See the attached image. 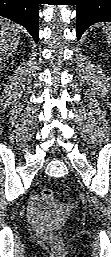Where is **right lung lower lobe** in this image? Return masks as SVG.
I'll return each instance as SVG.
<instances>
[{
    "label": "right lung lower lobe",
    "mask_w": 111,
    "mask_h": 257,
    "mask_svg": "<svg viewBox=\"0 0 111 257\" xmlns=\"http://www.w3.org/2000/svg\"><path fill=\"white\" fill-rule=\"evenodd\" d=\"M38 7L39 0H0V16L24 26L37 43Z\"/></svg>",
    "instance_id": "1"
}]
</instances>
